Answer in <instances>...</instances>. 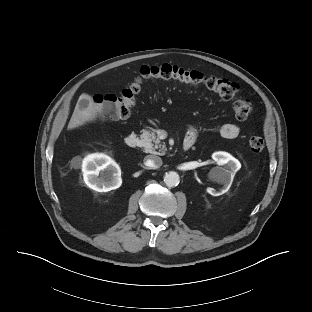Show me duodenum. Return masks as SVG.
<instances>
[{
  "instance_id": "obj_1",
  "label": "duodenum",
  "mask_w": 312,
  "mask_h": 312,
  "mask_svg": "<svg viewBox=\"0 0 312 312\" xmlns=\"http://www.w3.org/2000/svg\"><path fill=\"white\" fill-rule=\"evenodd\" d=\"M140 139L136 134H129L125 138V145L129 148H135L139 145ZM192 144L190 142H183L182 150L185 152L190 149Z\"/></svg>"
}]
</instances>
